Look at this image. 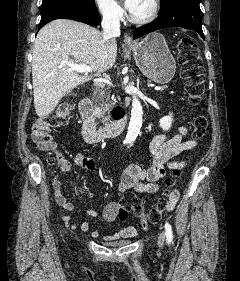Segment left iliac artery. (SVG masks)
Masks as SVG:
<instances>
[{
  "instance_id": "left-iliac-artery-1",
  "label": "left iliac artery",
  "mask_w": 240,
  "mask_h": 281,
  "mask_svg": "<svg viewBox=\"0 0 240 281\" xmlns=\"http://www.w3.org/2000/svg\"><path fill=\"white\" fill-rule=\"evenodd\" d=\"M165 231L167 243H170L173 238V233L171 225L168 222L165 223Z\"/></svg>"
}]
</instances>
